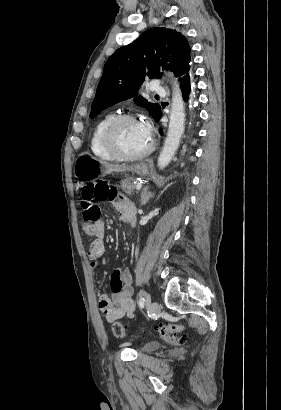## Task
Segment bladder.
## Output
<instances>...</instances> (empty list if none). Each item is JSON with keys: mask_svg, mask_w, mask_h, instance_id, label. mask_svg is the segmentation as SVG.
<instances>
[{"mask_svg": "<svg viewBox=\"0 0 281 410\" xmlns=\"http://www.w3.org/2000/svg\"><path fill=\"white\" fill-rule=\"evenodd\" d=\"M161 346H162V344H161L160 342L150 341V342L146 343V344L143 346L142 349H143V351H145V352H149V351H155V350L161 348Z\"/></svg>", "mask_w": 281, "mask_h": 410, "instance_id": "bladder-1", "label": "bladder"}]
</instances>
